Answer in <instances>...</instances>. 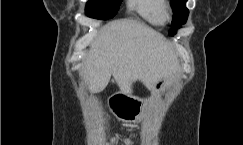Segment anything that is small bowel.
<instances>
[{
    "label": "small bowel",
    "mask_w": 243,
    "mask_h": 145,
    "mask_svg": "<svg viewBox=\"0 0 243 145\" xmlns=\"http://www.w3.org/2000/svg\"><path fill=\"white\" fill-rule=\"evenodd\" d=\"M117 142H122V143H124L125 145H133V142H132L130 139H128V138H125V139L113 138V139L111 140V143H112L113 145H115Z\"/></svg>",
    "instance_id": "small-bowel-1"
}]
</instances>
